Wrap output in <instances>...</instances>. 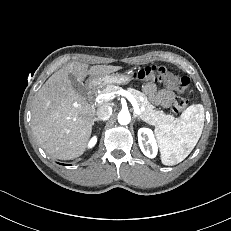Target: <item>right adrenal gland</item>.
<instances>
[{
	"label": "right adrenal gland",
	"mask_w": 231,
	"mask_h": 231,
	"mask_svg": "<svg viewBox=\"0 0 231 231\" xmlns=\"http://www.w3.org/2000/svg\"><path fill=\"white\" fill-rule=\"evenodd\" d=\"M94 122H99V120H98L97 118H95V119L93 120V124H94Z\"/></svg>",
	"instance_id": "obj_1"
}]
</instances>
